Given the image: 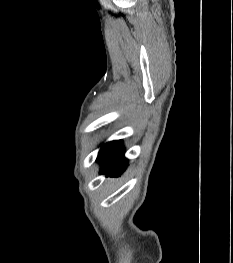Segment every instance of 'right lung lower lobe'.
Segmentation results:
<instances>
[{
    "label": "right lung lower lobe",
    "mask_w": 233,
    "mask_h": 263,
    "mask_svg": "<svg viewBox=\"0 0 233 263\" xmlns=\"http://www.w3.org/2000/svg\"><path fill=\"white\" fill-rule=\"evenodd\" d=\"M97 160L101 163V173L110 172L112 176H119L123 173L128 160L124 157L122 140L103 144Z\"/></svg>",
    "instance_id": "98d812e1"
}]
</instances>
